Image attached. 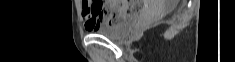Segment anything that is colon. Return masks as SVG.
Instances as JSON below:
<instances>
[{
  "label": "colon",
  "instance_id": "obj_1",
  "mask_svg": "<svg viewBox=\"0 0 235 62\" xmlns=\"http://www.w3.org/2000/svg\"><path fill=\"white\" fill-rule=\"evenodd\" d=\"M125 3H127V1L113 2L109 21L110 24L120 21L124 16L128 15L130 11H135L139 8V6L136 5L132 9H129ZM101 7H103L102 3H94L95 9H100Z\"/></svg>",
  "mask_w": 235,
  "mask_h": 62
}]
</instances>
